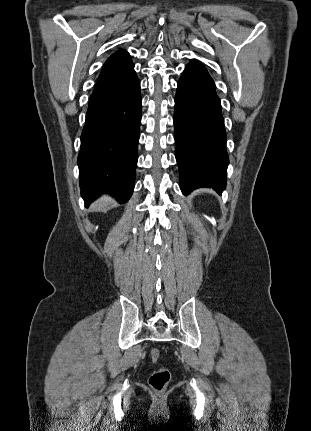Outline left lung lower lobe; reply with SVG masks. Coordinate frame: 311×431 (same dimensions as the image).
<instances>
[{
  "instance_id": "left-lung-lower-lobe-1",
  "label": "left lung lower lobe",
  "mask_w": 311,
  "mask_h": 431,
  "mask_svg": "<svg viewBox=\"0 0 311 431\" xmlns=\"http://www.w3.org/2000/svg\"><path fill=\"white\" fill-rule=\"evenodd\" d=\"M174 126L183 194L199 187L221 194L229 163L221 103L212 78L194 59L178 81Z\"/></svg>"
}]
</instances>
